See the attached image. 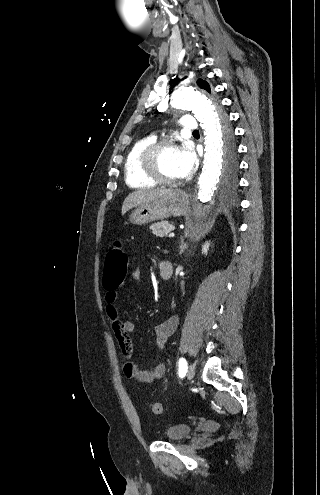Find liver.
I'll return each instance as SVG.
<instances>
[{"label": "liver", "mask_w": 320, "mask_h": 495, "mask_svg": "<svg viewBox=\"0 0 320 495\" xmlns=\"http://www.w3.org/2000/svg\"><path fill=\"white\" fill-rule=\"evenodd\" d=\"M171 190H150V191H134L130 193L124 200L122 205V215L131 208L144 203L153 201L162 195L169 193Z\"/></svg>", "instance_id": "obj_1"}]
</instances>
